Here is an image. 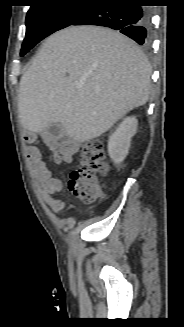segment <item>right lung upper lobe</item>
<instances>
[{"label":"right lung upper lobe","mask_w":184,"mask_h":327,"mask_svg":"<svg viewBox=\"0 0 184 327\" xmlns=\"http://www.w3.org/2000/svg\"><path fill=\"white\" fill-rule=\"evenodd\" d=\"M46 1H50V0H33L34 3H41V2H46Z\"/></svg>","instance_id":"obj_1"}]
</instances>
